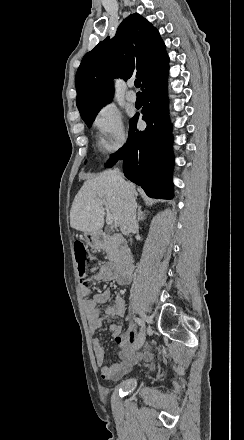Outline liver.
<instances>
[{"label": "liver", "mask_w": 244, "mask_h": 440, "mask_svg": "<svg viewBox=\"0 0 244 440\" xmlns=\"http://www.w3.org/2000/svg\"><path fill=\"white\" fill-rule=\"evenodd\" d=\"M128 186L132 190L131 194L138 196L134 184ZM126 194V188L121 186L117 178V170H106L97 178L86 180L70 210L71 228L79 232H99L104 226V210L112 214L115 228H118ZM102 200H106L105 204Z\"/></svg>", "instance_id": "liver-1"}]
</instances>
